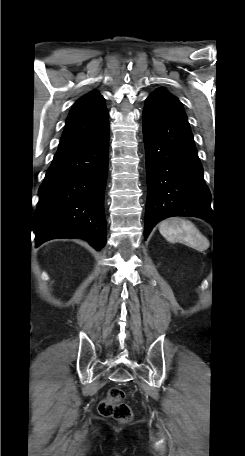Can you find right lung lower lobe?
I'll return each mask as SVG.
<instances>
[{
  "mask_svg": "<svg viewBox=\"0 0 245 456\" xmlns=\"http://www.w3.org/2000/svg\"><path fill=\"white\" fill-rule=\"evenodd\" d=\"M108 151L109 123L92 144L55 154L39 189L36 247L57 238H82L97 250L104 247Z\"/></svg>",
  "mask_w": 245,
  "mask_h": 456,
  "instance_id": "1",
  "label": "right lung lower lobe"
}]
</instances>
